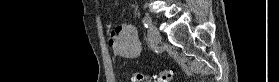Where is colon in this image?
Masks as SVG:
<instances>
[{"label":"colon","instance_id":"colon-1","mask_svg":"<svg viewBox=\"0 0 279 82\" xmlns=\"http://www.w3.org/2000/svg\"><path fill=\"white\" fill-rule=\"evenodd\" d=\"M174 74V69H166L162 76H160L155 82H170L172 79V76ZM133 82H147L148 80V76L146 74L143 73H136L133 75Z\"/></svg>","mask_w":279,"mask_h":82}]
</instances>
